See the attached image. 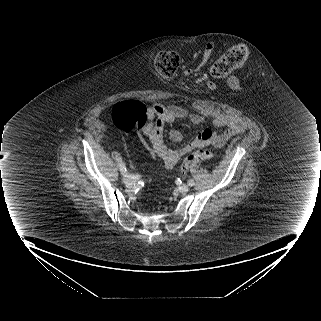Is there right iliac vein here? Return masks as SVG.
Segmentation results:
<instances>
[{
    "mask_svg": "<svg viewBox=\"0 0 321 321\" xmlns=\"http://www.w3.org/2000/svg\"><path fill=\"white\" fill-rule=\"evenodd\" d=\"M123 181H124V183H125L126 185H131V184H133V180H132V178L129 177V176H124V177H123Z\"/></svg>",
    "mask_w": 321,
    "mask_h": 321,
    "instance_id": "1",
    "label": "right iliac vein"
}]
</instances>
